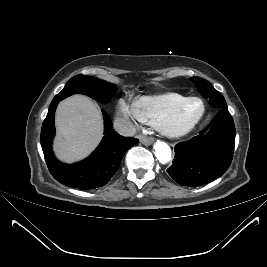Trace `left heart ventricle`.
Listing matches in <instances>:
<instances>
[{
	"instance_id": "obj_1",
	"label": "left heart ventricle",
	"mask_w": 267,
	"mask_h": 267,
	"mask_svg": "<svg viewBox=\"0 0 267 267\" xmlns=\"http://www.w3.org/2000/svg\"><path fill=\"white\" fill-rule=\"evenodd\" d=\"M202 104L198 100L188 102L173 123L176 128L184 127L193 122L201 113Z\"/></svg>"
}]
</instances>
